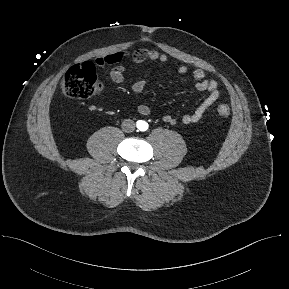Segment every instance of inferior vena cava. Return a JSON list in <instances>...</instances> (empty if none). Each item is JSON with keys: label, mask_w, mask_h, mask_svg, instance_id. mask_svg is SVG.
Returning a JSON list of instances; mask_svg holds the SVG:
<instances>
[{"label": "inferior vena cava", "mask_w": 289, "mask_h": 289, "mask_svg": "<svg viewBox=\"0 0 289 289\" xmlns=\"http://www.w3.org/2000/svg\"><path fill=\"white\" fill-rule=\"evenodd\" d=\"M121 127H122L123 131L130 133V132H133L135 130V123L131 119H126L122 122Z\"/></svg>", "instance_id": "inferior-vena-cava-1"}]
</instances>
